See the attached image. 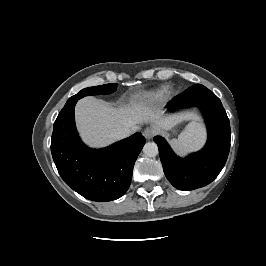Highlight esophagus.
I'll return each mask as SVG.
<instances>
[{
  "label": "esophagus",
  "instance_id": "1",
  "mask_svg": "<svg viewBox=\"0 0 266 266\" xmlns=\"http://www.w3.org/2000/svg\"><path fill=\"white\" fill-rule=\"evenodd\" d=\"M156 135V130L152 127H148L143 131V136L146 139H152Z\"/></svg>",
  "mask_w": 266,
  "mask_h": 266
}]
</instances>
